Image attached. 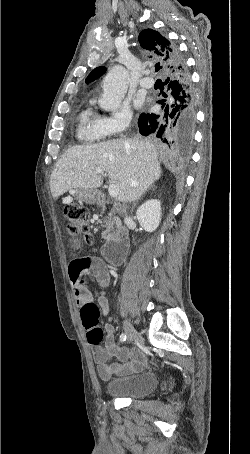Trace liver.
Segmentation results:
<instances>
[{
  "instance_id": "obj_1",
  "label": "liver",
  "mask_w": 250,
  "mask_h": 454,
  "mask_svg": "<svg viewBox=\"0 0 250 454\" xmlns=\"http://www.w3.org/2000/svg\"><path fill=\"white\" fill-rule=\"evenodd\" d=\"M105 171L119 189L118 200H137L162 174L155 146L139 139H116L73 146L55 164L50 177L53 198L72 189H97Z\"/></svg>"
}]
</instances>
